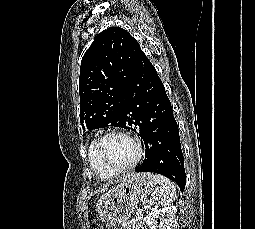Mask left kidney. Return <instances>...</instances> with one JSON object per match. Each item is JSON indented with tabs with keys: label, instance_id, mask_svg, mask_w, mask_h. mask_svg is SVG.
<instances>
[{
	"label": "left kidney",
	"instance_id": "obj_1",
	"mask_svg": "<svg viewBox=\"0 0 255 229\" xmlns=\"http://www.w3.org/2000/svg\"><path fill=\"white\" fill-rule=\"evenodd\" d=\"M176 206H165L159 209H153L146 218V224L153 226L155 229H171L176 216ZM162 221L158 224L157 219Z\"/></svg>",
	"mask_w": 255,
	"mask_h": 229
}]
</instances>
